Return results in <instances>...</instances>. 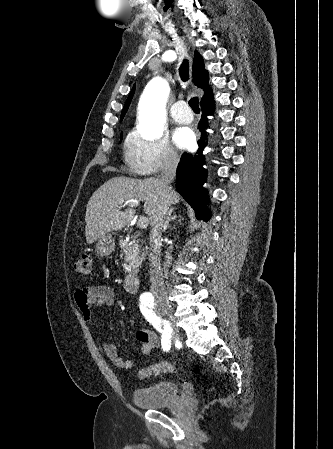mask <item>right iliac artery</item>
<instances>
[{
    "mask_svg": "<svg viewBox=\"0 0 333 449\" xmlns=\"http://www.w3.org/2000/svg\"><path fill=\"white\" fill-rule=\"evenodd\" d=\"M154 308V298L150 293H144L140 297V309L147 321H149L159 332H162V348L168 351L171 347L170 343V325L168 321L161 319L152 310ZM163 325V328H162Z\"/></svg>",
    "mask_w": 333,
    "mask_h": 449,
    "instance_id": "right-iliac-artery-1",
    "label": "right iliac artery"
}]
</instances>
